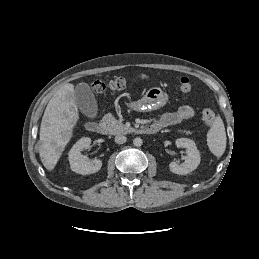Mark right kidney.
Returning <instances> with one entry per match:
<instances>
[{"instance_id":"right-kidney-1","label":"right kidney","mask_w":259,"mask_h":259,"mask_svg":"<svg viewBox=\"0 0 259 259\" xmlns=\"http://www.w3.org/2000/svg\"><path fill=\"white\" fill-rule=\"evenodd\" d=\"M90 144L91 138L83 137L73 145L68 156L72 171L78 174L87 175L94 174L101 169L102 161L100 159L89 161L81 154V151L88 148Z\"/></svg>"}]
</instances>
